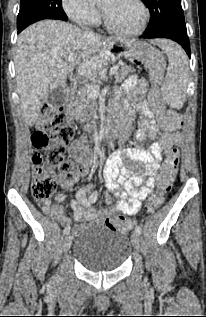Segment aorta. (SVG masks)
<instances>
[{"mask_svg":"<svg viewBox=\"0 0 206 317\" xmlns=\"http://www.w3.org/2000/svg\"><path fill=\"white\" fill-rule=\"evenodd\" d=\"M98 0H88V2L92 3V2H96Z\"/></svg>","mask_w":206,"mask_h":317,"instance_id":"aorta-1","label":"aorta"}]
</instances>
